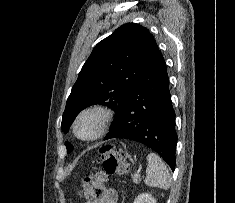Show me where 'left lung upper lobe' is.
Wrapping results in <instances>:
<instances>
[{
  "instance_id": "left-lung-upper-lobe-1",
  "label": "left lung upper lobe",
  "mask_w": 235,
  "mask_h": 203,
  "mask_svg": "<svg viewBox=\"0 0 235 203\" xmlns=\"http://www.w3.org/2000/svg\"><path fill=\"white\" fill-rule=\"evenodd\" d=\"M158 51L149 30L127 23L100 41L83 65L69 95L61 128L67 132L80 111L101 104L120 115L130 94ZM67 152L73 146L65 143Z\"/></svg>"
}]
</instances>
